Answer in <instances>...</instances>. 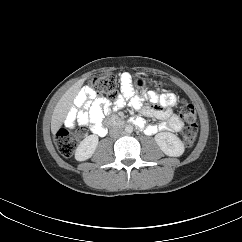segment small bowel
I'll use <instances>...</instances> for the list:
<instances>
[{
  "label": "small bowel",
  "instance_id": "small-bowel-1",
  "mask_svg": "<svg viewBox=\"0 0 242 242\" xmlns=\"http://www.w3.org/2000/svg\"><path fill=\"white\" fill-rule=\"evenodd\" d=\"M120 79L121 94L113 107L104 99L96 97L93 90L89 88L83 89L75 100L76 107L72 108L66 117V124L73 125L75 121H78L82 125H89L94 134L102 136L104 134L103 120L105 115L128 105L146 117L165 121L159 125H153L146 124L142 118H136L134 123L137 127L144 129L146 134H154L163 130H180L182 126L181 120L173 111V107L176 104V96L173 93L158 94L154 91H149L139 96L132 88L127 75H121ZM144 100H149L154 106H144Z\"/></svg>",
  "mask_w": 242,
  "mask_h": 242
}]
</instances>
